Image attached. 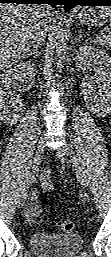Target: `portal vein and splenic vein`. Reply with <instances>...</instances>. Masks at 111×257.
Segmentation results:
<instances>
[{
    "instance_id": "1",
    "label": "portal vein and splenic vein",
    "mask_w": 111,
    "mask_h": 257,
    "mask_svg": "<svg viewBox=\"0 0 111 257\" xmlns=\"http://www.w3.org/2000/svg\"><path fill=\"white\" fill-rule=\"evenodd\" d=\"M109 36H111V32H109Z\"/></svg>"
}]
</instances>
